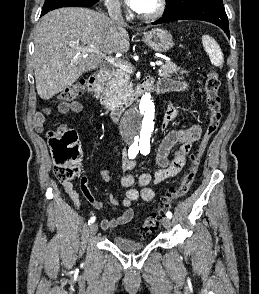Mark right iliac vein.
I'll list each match as a JSON object with an SVG mask.
<instances>
[{"label":"right iliac vein","mask_w":259,"mask_h":294,"mask_svg":"<svg viewBox=\"0 0 259 294\" xmlns=\"http://www.w3.org/2000/svg\"><path fill=\"white\" fill-rule=\"evenodd\" d=\"M98 226L96 223H93L89 227V233L90 235H94L97 232Z\"/></svg>","instance_id":"obj_1"}]
</instances>
